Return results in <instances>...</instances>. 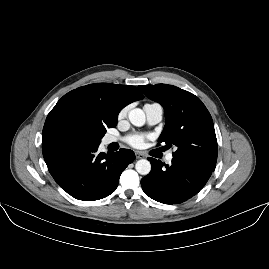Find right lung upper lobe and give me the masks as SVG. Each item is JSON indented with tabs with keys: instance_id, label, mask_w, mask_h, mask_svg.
Here are the masks:
<instances>
[{
	"instance_id": "right-lung-upper-lobe-1",
	"label": "right lung upper lobe",
	"mask_w": 269,
	"mask_h": 269,
	"mask_svg": "<svg viewBox=\"0 0 269 269\" xmlns=\"http://www.w3.org/2000/svg\"><path fill=\"white\" fill-rule=\"evenodd\" d=\"M143 98L135 86L111 83H95L72 90L48 114L42 132V143L60 140L56 125L63 117H96L104 124L111 125L117 122L118 113L123 107Z\"/></svg>"
}]
</instances>
